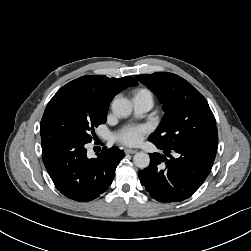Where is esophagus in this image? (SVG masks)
<instances>
[{
  "label": "esophagus",
  "instance_id": "esophagus-1",
  "mask_svg": "<svg viewBox=\"0 0 251 251\" xmlns=\"http://www.w3.org/2000/svg\"><path fill=\"white\" fill-rule=\"evenodd\" d=\"M125 153L126 154H135V153H137V150H135V149H125Z\"/></svg>",
  "mask_w": 251,
  "mask_h": 251
}]
</instances>
